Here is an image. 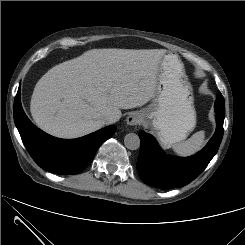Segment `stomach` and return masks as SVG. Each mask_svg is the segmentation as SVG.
<instances>
[{
    "label": "stomach",
    "instance_id": "stomach-1",
    "mask_svg": "<svg viewBox=\"0 0 245 245\" xmlns=\"http://www.w3.org/2000/svg\"><path fill=\"white\" fill-rule=\"evenodd\" d=\"M141 112L164 146L182 142L195 128L192 87L178 55L167 52L161 58L152 103Z\"/></svg>",
    "mask_w": 245,
    "mask_h": 245
}]
</instances>
